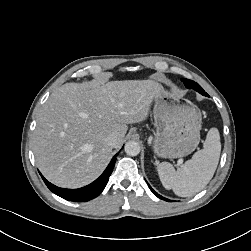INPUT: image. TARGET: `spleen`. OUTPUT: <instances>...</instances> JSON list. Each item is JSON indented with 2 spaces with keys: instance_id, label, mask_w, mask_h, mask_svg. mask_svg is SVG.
Segmentation results:
<instances>
[{
  "instance_id": "3e777b00",
  "label": "spleen",
  "mask_w": 251,
  "mask_h": 251,
  "mask_svg": "<svg viewBox=\"0 0 251 251\" xmlns=\"http://www.w3.org/2000/svg\"><path fill=\"white\" fill-rule=\"evenodd\" d=\"M221 152L220 134L217 128L207 133L203 149L175 170L173 165L162 162L157 171L166 189H172L180 197H190L200 192L212 179Z\"/></svg>"
}]
</instances>
